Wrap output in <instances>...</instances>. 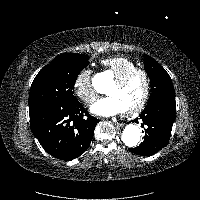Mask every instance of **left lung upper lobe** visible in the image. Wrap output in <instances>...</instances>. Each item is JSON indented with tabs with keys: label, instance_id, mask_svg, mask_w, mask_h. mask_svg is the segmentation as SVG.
<instances>
[{
	"label": "left lung upper lobe",
	"instance_id": "1",
	"mask_svg": "<svg viewBox=\"0 0 200 200\" xmlns=\"http://www.w3.org/2000/svg\"><path fill=\"white\" fill-rule=\"evenodd\" d=\"M144 61L151 85V94L148 102L163 96L175 97L173 83L166 70L149 55L144 56Z\"/></svg>",
	"mask_w": 200,
	"mask_h": 200
}]
</instances>
